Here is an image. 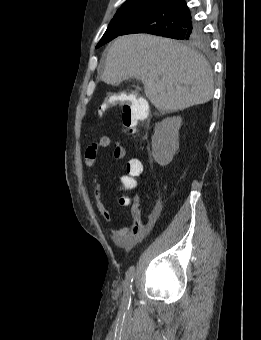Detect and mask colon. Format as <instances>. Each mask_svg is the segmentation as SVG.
<instances>
[{"label":"colon","instance_id":"obj_1","mask_svg":"<svg viewBox=\"0 0 261 340\" xmlns=\"http://www.w3.org/2000/svg\"><path fill=\"white\" fill-rule=\"evenodd\" d=\"M113 100L104 101L97 109L96 115L100 116L106 110L114 105ZM148 116V105L146 101L140 99H130L122 108V121L127 131L130 134H135L138 129L139 122L145 120ZM128 173L131 175L126 179L123 184L126 188H133L136 185V181L133 177L139 176L142 173L143 167L139 160L133 159L129 161L127 165ZM120 204L126 205L129 203V199L126 197L120 198Z\"/></svg>","mask_w":261,"mask_h":340}]
</instances>
